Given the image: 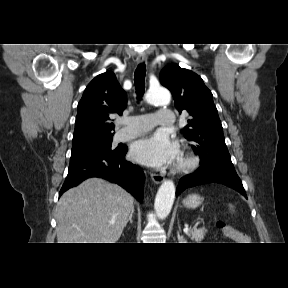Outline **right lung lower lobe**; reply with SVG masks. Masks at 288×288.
Listing matches in <instances>:
<instances>
[{
    "label": "right lung lower lobe",
    "mask_w": 288,
    "mask_h": 288,
    "mask_svg": "<svg viewBox=\"0 0 288 288\" xmlns=\"http://www.w3.org/2000/svg\"><path fill=\"white\" fill-rule=\"evenodd\" d=\"M126 152L127 147L124 146L110 153L95 154L70 162L59 196L87 178L100 177L122 186L142 202L145 175L140 167L124 160Z\"/></svg>",
    "instance_id": "right-lung-lower-lobe-1"
}]
</instances>
